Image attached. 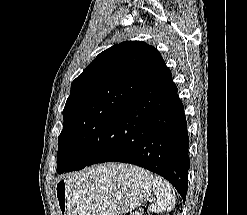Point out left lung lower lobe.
<instances>
[{"instance_id":"left-lung-lower-lobe-1","label":"left lung lower lobe","mask_w":247,"mask_h":215,"mask_svg":"<svg viewBox=\"0 0 247 215\" xmlns=\"http://www.w3.org/2000/svg\"><path fill=\"white\" fill-rule=\"evenodd\" d=\"M101 144L93 153L89 145L84 147L79 162L64 172L103 162L130 163L163 176L185 202L190 165L187 122L172 74L163 62Z\"/></svg>"}]
</instances>
